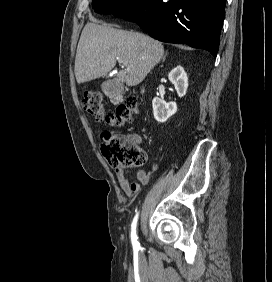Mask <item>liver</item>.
Here are the masks:
<instances>
[{
  "instance_id": "6515ba94",
  "label": "liver",
  "mask_w": 272,
  "mask_h": 282,
  "mask_svg": "<svg viewBox=\"0 0 272 282\" xmlns=\"http://www.w3.org/2000/svg\"><path fill=\"white\" fill-rule=\"evenodd\" d=\"M163 55L162 43L147 35L90 22L81 33L74 72L77 82L84 83L108 74L118 61L126 69L119 71L117 80L135 86Z\"/></svg>"
}]
</instances>
